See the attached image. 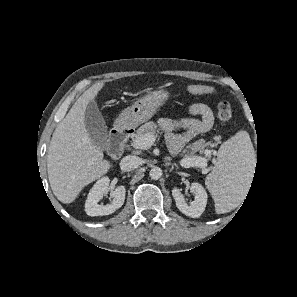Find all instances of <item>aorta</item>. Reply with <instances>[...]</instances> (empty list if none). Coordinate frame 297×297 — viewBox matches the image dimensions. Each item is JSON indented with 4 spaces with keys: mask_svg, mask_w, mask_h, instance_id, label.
<instances>
[{
    "mask_svg": "<svg viewBox=\"0 0 297 297\" xmlns=\"http://www.w3.org/2000/svg\"><path fill=\"white\" fill-rule=\"evenodd\" d=\"M162 176V170L159 167H153L150 170V177L153 180H158Z\"/></svg>",
    "mask_w": 297,
    "mask_h": 297,
    "instance_id": "obj_1",
    "label": "aorta"
}]
</instances>
